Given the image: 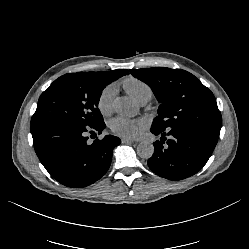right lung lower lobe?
<instances>
[{
	"label": "right lung lower lobe",
	"mask_w": 249,
	"mask_h": 249,
	"mask_svg": "<svg viewBox=\"0 0 249 249\" xmlns=\"http://www.w3.org/2000/svg\"><path fill=\"white\" fill-rule=\"evenodd\" d=\"M104 121L95 126L68 122L31 124L34 149L41 163L61 184L81 188L99 180L109 169L118 137L106 135L91 144L87 135L102 133Z\"/></svg>",
	"instance_id": "right-lung-lower-lobe-1"
}]
</instances>
